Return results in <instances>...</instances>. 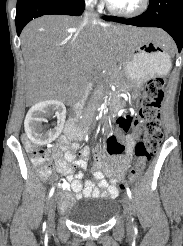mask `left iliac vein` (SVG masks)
<instances>
[{
  "instance_id": "left-iliac-vein-1",
  "label": "left iliac vein",
  "mask_w": 183,
  "mask_h": 246,
  "mask_svg": "<svg viewBox=\"0 0 183 246\" xmlns=\"http://www.w3.org/2000/svg\"><path fill=\"white\" fill-rule=\"evenodd\" d=\"M123 207L126 215L127 220V228H132V204L130 201L129 196L125 195L123 198Z\"/></svg>"
}]
</instances>
